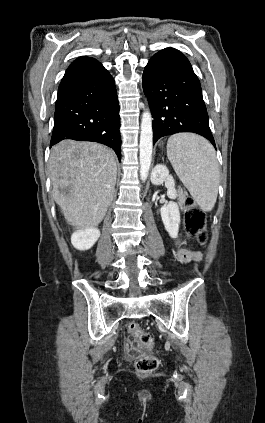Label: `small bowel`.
Listing matches in <instances>:
<instances>
[{
	"label": "small bowel",
	"instance_id": "small-bowel-1",
	"mask_svg": "<svg viewBox=\"0 0 265 423\" xmlns=\"http://www.w3.org/2000/svg\"><path fill=\"white\" fill-rule=\"evenodd\" d=\"M175 243H176V246H177V249H176L175 254H174L176 261H178L180 263H187V262H191V261L200 262L202 260V258H203L202 253L184 248L182 246L180 239H177L175 241ZM124 348H125V352H126V357L128 359L131 358L135 354V352L137 351L134 343L129 338L125 339Z\"/></svg>",
	"mask_w": 265,
	"mask_h": 423
}]
</instances>
